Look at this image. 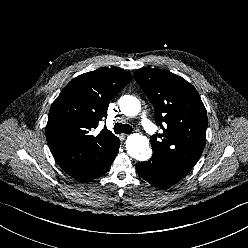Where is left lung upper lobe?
Returning <instances> with one entry per match:
<instances>
[{
	"label": "left lung upper lobe",
	"instance_id": "left-lung-upper-lobe-1",
	"mask_svg": "<svg viewBox=\"0 0 248 248\" xmlns=\"http://www.w3.org/2000/svg\"><path fill=\"white\" fill-rule=\"evenodd\" d=\"M135 80L153 104L155 122L163 129V134L150 138L153 155L187 175L206 142L207 113L197 90L167 70H137Z\"/></svg>",
	"mask_w": 248,
	"mask_h": 248
}]
</instances>
